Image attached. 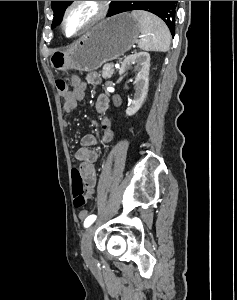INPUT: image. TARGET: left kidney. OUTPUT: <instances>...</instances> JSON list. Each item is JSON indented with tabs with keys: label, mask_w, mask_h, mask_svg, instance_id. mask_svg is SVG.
<instances>
[{
	"label": "left kidney",
	"mask_w": 237,
	"mask_h": 300,
	"mask_svg": "<svg viewBox=\"0 0 237 300\" xmlns=\"http://www.w3.org/2000/svg\"><path fill=\"white\" fill-rule=\"evenodd\" d=\"M132 65H136L135 71H137V77L133 83L135 91L133 101L130 107L126 109V115H128V117L135 115V113L141 109L147 97L150 71L149 53H134V55H128L121 65L119 75H123L127 69H131Z\"/></svg>",
	"instance_id": "obj_1"
}]
</instances>
